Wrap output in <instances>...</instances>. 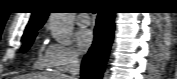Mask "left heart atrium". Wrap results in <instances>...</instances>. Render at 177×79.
I'll return each mask as SVG.
<instances>
[{
	"instance_id": "39dd6f15",
	"label": "left heart atrium",
	"mask_w": 177,
	"mask_h": 79,
	"mask_svg": "<svg viewBox=\"0 0 177 79\" xmlns=\"http://www.w3.org/2000/svg\"><path fill=\"white\" fill-rule=\"evenodd\" d=\"M94 42V35L89 29H82L76 35V44L81 53L91 48Z\"/></svg>"
}]
</instances>
